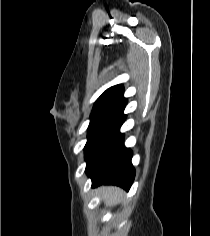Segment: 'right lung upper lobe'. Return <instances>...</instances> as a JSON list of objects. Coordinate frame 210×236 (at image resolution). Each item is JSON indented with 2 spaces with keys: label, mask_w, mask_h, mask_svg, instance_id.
I'll return each mask as SVG.
<instances>
[{
  "label": "right lung upper lobe",
  "mask_w": 210,
  "mask_h": 236,
  "mask_svg": "<svg viewBox=\"0 0 210 236\" xmlns=\"http://www.w3.org/2000/svg\"><path fill=\"white\" fill-rule=\"evenodd\" d=\"M124 88L122 85H116L109 89H107L99 98L97 101H110L119 96V94L123 93ZM96 101V102H97Z\"/></svg>",
  "instance_id": "obj_1"
}]
</instances>
